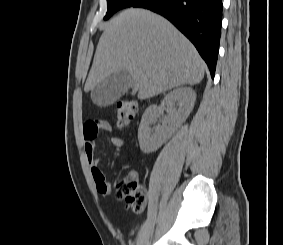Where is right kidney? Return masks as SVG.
Returning a JSON list of instances; mask_svg holds the SVG:
<instances>
[{
	"mask_svg": "<svg viewBox=\"0 0 283 245\" xmlns=\"http://www.w3.org/2000/svg\"><path fill=\"white\" fill-rule=\"evenodd\" d=\"M196 101V93L190 87H179L170 91L163 99L162 106L150 105L144 112L138 129L140 148L144 153H152L168 140L177 128L185 122ZM168 113L162 125L153 128L163 110Z\"/></svg>",
	"mask_w": 283,
	"mask_h": 245,
	"instance_id": "1",
	"label": "right kidney"
}]
</instances>
